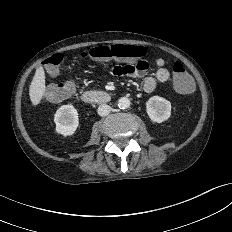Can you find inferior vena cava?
<instances>
[{
	"instance_id": "obj_1",
	"label": "inferior vena cava",
	"mask_w": 232,
	"mask_h": 232,
	"mask_svg": "<svg viewBox=\"0 0 232 232\" xmlns=\"http://www.w3.org/2000/svg\"><path fill=\"white\" fill-rule=\"evenodd\" d=\"M111 111V107L107 104H102L98 107V114L100 116H107Z\"/></svg>"
}]
</instances>
